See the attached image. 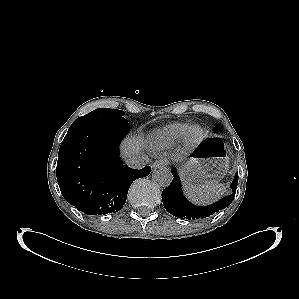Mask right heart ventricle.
Masks as SVG:
<instances>
[{
	"mask_svg": "<svg viewBox=\"0 0 299 299\" xmlns=\"http://www.w3.org/2000/svg\"><path fill=\"white\" fill-rule=\"evenodd\" d=\"M189 129L188 123L175 122L157 129L150 138L153 150H164L180 142Z\"/></svg>",
	"mask_w": 299,
	"mask_h": 299,
	"instance_id": "1",
	"label": "right heart ventricle"
}]
</instances>
